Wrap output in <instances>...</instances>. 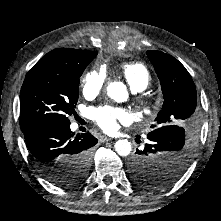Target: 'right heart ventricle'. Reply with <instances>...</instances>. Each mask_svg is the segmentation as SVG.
Wrapping results in <instances>:
<instances>
[{
    "mask_svg": "<svg viewBox=\"0 0 221 221\" xmlns=\"http://www.w3.org/2000/svg\"><path fill=\"white\" fill-rule=\"evenodd\" d=\"M120 73L132 90L142 91L151 81L147 67L140 62H127L120 66Z\"/></svg>",
    "mask_w": 221,
    "mask_h": 221,
    "instance_id": "1",
    "label": "right heart ventricle"
}]
</instances>
